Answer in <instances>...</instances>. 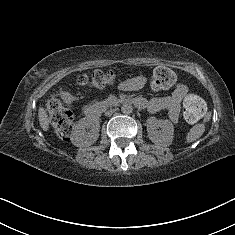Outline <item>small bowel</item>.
<instances>
[{
  "mask_svg": "<svg viewBox=\"0 0 235 235\" xmlns=\"http://www.w3.org/2000/svg\"><path fill=\"white\" fill-rule=\"evenodd\" d=\"M142 79L137 78L135 83H141ZM188 93V87L183 83H177L171 95L161 98L145 99L142 97H136L133 102L140 107L145 108L150 113H155L161 110H166L168 118L171 122H177L180 113V107L182 100Z\"/></svg>",
  "mask_w": 235,
  "mask_h": 235,
  "instance_id": "small-bowel-1",
  "label": "small bowel"
}]
</instances>
